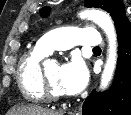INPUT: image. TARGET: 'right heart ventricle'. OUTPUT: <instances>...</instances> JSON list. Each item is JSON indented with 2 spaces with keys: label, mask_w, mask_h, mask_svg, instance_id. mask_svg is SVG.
I'll use <instances>...</instances> for the list:
<instances>
[{
  "label": "right heart ventricle",
  "mask_w": 131,
  "mask_h": 115,
  "mask_svg": "<svg viewBox=\"0 0 131 115\" xmlns=\"http://www.w3.org/2000/svg\"><path fill=\"white\" fill-rule=\"evenodd\" d=\"M48 54L36 45L19 60L17 83L23 98L29 102L40 103L45 100L41 90V62Z\"/></svg>",
  "instance_id": "1"
}]
</instances>
